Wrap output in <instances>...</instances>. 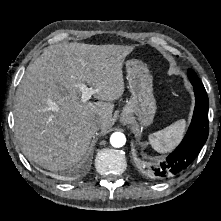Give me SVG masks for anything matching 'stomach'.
I'll list each match as a JSON object with an SVG mask.
<instances>
[{
    "instance_id": "stomach-1",
    "label": "stomach",
    "mask_w": 221,
    "mask_h": 221,
    "mask_svg": "<svg viewBox=\"0 0 221 221\" xmlns=\"http://www.w3.org/2000/svg\"><path fill=\"white\" fill-rule=\"evenodd\" d=\"M127 80L131 98L123 108L121 120L136 118L141 126H149L156 113L152 77L147 66L139 60L126 62Z\"/></svg>"
}]
</instances>
